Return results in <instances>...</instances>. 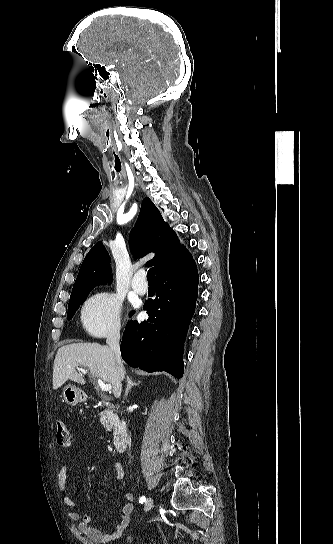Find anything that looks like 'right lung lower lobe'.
<instances>
[{
    "mask_svg": "<svg viewBox=\"0 0 333 544\" xmlns=\"http://www.w3.org/2000/svg\"><path fill=\"white\" fill-rule=\"evenodd\" d=\"M198 271L195 262L157 277L156 297L147 300V321L130 320L121 342L123 360L147 372H184L185 337L196 307ZM134 311L130 314V317Z\"/></svg>",
    "mask_w": 333,
    "mask_h": 544,
    "instance_id": "98d812e1",
    "label": "right lung lower lobe"
}]
</instances>
